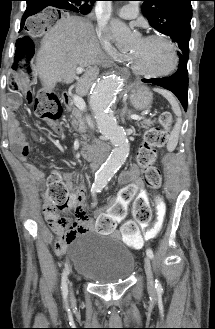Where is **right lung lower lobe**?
Here are the masks:
<instances>
[{"label":"right lung lower lobe","instance_id":"1","mask_svg":"<svg viewBox=\"0 0 215 329\" xmlns=\"http://www.w3.org/2000/svg\"><path fill=\"white\" fill-rule=\"evenodd\" d=\"M26 1H27V8L22 17L20 30H22L26 18L43 10L44 4L47 3V1H44V0H26ZM57 8L70 10L64 3H63V5H58Z\"/></svg>","mask_w":215,"mask_h":329}]
</instances>
